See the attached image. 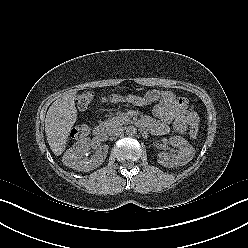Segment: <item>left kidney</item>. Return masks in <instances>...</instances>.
Here are the masks:
<instances>
[{"label": "left kidney", "instance_id": "1", "mask_svg": "<svg viewBox=\"0 0 248 248\" xmlns=\"http://www.w3.org/2000/svg\"><path fill=\"white\" fill-rule=\"evenodd\" d=\"M172 146L177 147V154H169L161 152L158 154V163L165 167L183 166L190 162L194 155L195 150L193 146L181 136H172L169 139Z\"/></svg>", "mask_w": 248, "mask_h": 248}]
</instances>
